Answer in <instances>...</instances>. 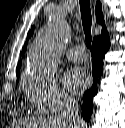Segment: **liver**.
Segmentation results:
<instances>
[{"instance_id":"6515ba94","label":"liver","mask_w":125,"mask_h":128,"mask_svg":"<svg viewBox=\"0 0 125 128\" xmlns=\"http://www.w3.org/2000/svg\"><path fill=\"white\" fill-rule=\"evenodd\" d=\"M52 126H57V124H56V122H55V121L53 122Z\"/></svg>"}]
</instances>
